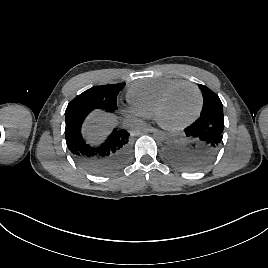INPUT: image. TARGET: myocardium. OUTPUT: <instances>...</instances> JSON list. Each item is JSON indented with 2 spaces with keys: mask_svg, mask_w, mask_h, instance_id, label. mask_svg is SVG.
I'll return each mask as SVG.
<instances>
[{
  "mask_svg": "<svg viewBox=\"0 0 268 268\" xmlns=\"http://www.w3.org/2000/svg\"><path fill=\"white\" fill-rule=\"evenodd\" d=\"M183 87H191L193 88L198 96V106L197 109L195 111V113L193 114L192 117H190L189 119H187L186 121L177 124V125H170L165 123L164 121H162L161 117H160V113L161 110L163 108V106L165 105V103L168 101V99L180 88ZM202 107H203V95L201 90L199 89V87L193 83L190 82H181L179 84L174 85L173 87H171L170 89H168L163 95L162 97L159 99L156 107H155V111H154V118L156 120V122L164 129L169 130V131H180L182 129H184L185 127L189 126L190 124H192L200 115L201 111H202Z\"/></svg>",
  "mask_w": 268,
  "mask_h": 268,
  "instance_id": "obj_1",
  "label": "myocardium"
}]
</instances>
